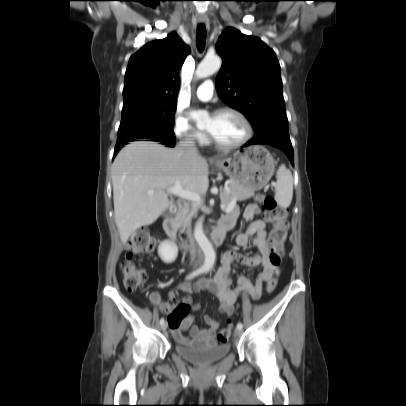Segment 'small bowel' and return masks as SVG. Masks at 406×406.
<instances>
[{"label": "small bowel", "instance_id": "small-bowel-1", "mask_svg": "<svg viewBox=\"0 0 406 406\" xmlns=\"http://www.w3.org/2000/svg\"><path fill=\"white\" fill-rule=\"evenodd\" d=\"M261 210L258 205H249L243 214L244 220L248 225L243 233L236 237V243L239 246H246L252 243L258 250V253L252 257L245 256L237 251L231 250L226 252L221 259V265L211 280L200 282L194 286L190 282H180L176 290L169 293L167 302H162L160 295L157 292H152L150 295L151 302L160 310L167 313H173L177 306H183L190 309L192 298L187 295L180 303L176 299V292L181 291L190 294L200 289H208L219 300L220 311L227 315H233L235 308L234 304L240 295H248L252 299H259L262 295L263 286L273 276L279 274L269 260L270 251L266 243V224L261 218L254 219L260 214ZM238 209L233 208L221 221H230L235 223L238 217ZM238 262L250 267L262 266V271L258 274L255 282H252L246 275H240L237 278V287L232 286L231 269L232 264ZM192 316L190 313L184 317L177 326H171L174 336L183 344H191L195 342L202 345H213L215 343V334L220 327V321L206 316L205 322L208 328L192 326ZM190 328L191 338L184 335V331Z\"/></svg>", "mask_w": 406, "mask_h": 406}]
</instances>
